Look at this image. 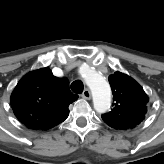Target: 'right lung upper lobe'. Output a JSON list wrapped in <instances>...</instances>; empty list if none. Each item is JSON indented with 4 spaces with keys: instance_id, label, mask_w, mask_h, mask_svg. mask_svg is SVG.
<instances>
[{
    "instance_id": "1",
    "label": "right lung upper lobe",
    "mask_w": 164,
    "mask_h": 164,
    "mask_svg": "<svg viewBox=\"0 0 164 164\" xmlns=\"http://www.w3.org/2000/svg\"><path fill=\"white\" fill-rule=\"evenodd\" d=\"M66 82L54 77L47 68L20 81L11 99L19 120L42 129L63 120L69 104L76 98Z\"/></svg>"
}]
</instances>
